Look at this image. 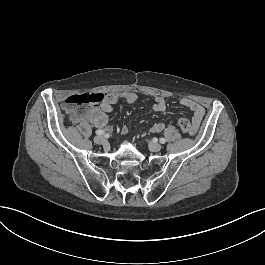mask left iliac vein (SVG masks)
<instances>
[{"label":"left iliac vein","mask_w":265,"mask_h":265,"mask_svg":"<svg viewBox=\"0 0 265 265\" xmlns=\"http://www.w3.org/2000/svg\"><path fill=\"white\" fill-rule=\"evenodd\" d=\"M149 147H150V150L153 152H158L161 150V144L156 143V142H151Z\"/></svg>","instance_id":"obj_1"}]
</instances>
